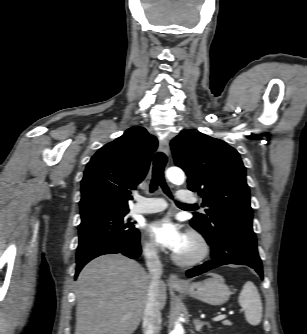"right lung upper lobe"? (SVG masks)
<instances>
[{"instance_id":"right-lung-upper-lobe-1","label":"right lung upper lobe","mask_w":307,"mask_h":334,"mask_svg":"<svg viewBox=\"0 0 307 334\" xmlns=\"http://www.w3.org/2000/svg\"><path fill=\"white\" fill-rule=\"evenodd\" d=\"M157 145L145 128L134 126L100 148L87 164L81 182V216L128 212L129 190L146 176Z\"/></svg>"}]
</instances>
